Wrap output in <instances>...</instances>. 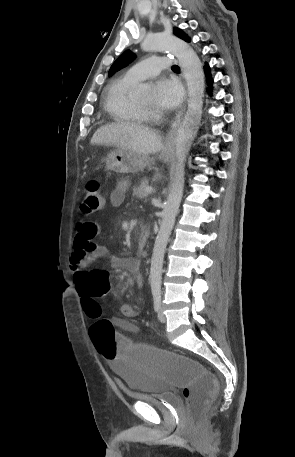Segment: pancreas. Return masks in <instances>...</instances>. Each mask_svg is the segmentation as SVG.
Returning a JSON list of instances; mask_svg holds the SVG:
<instances>
[{
  "label": "pancreas",
  "instance_id": "obj_1",
  "mask_svg": "<svg viewBox=\"0 0 295 457\" xmlns=\"http://www.w3.org/2000/svg\"><path fill=\"white\" fill-rule=\"evenodd\" d=\"M148 187V182L146 180L142 181L139 185L133 188L132 196L142 199L145 197V188Z\"/></svg>",
  "mask_w": 295,
  "mask_h": 457
}]
</instances>
